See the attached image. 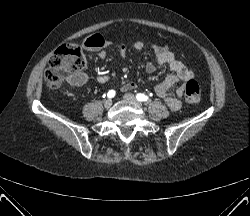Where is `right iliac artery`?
Returning <instances> with one entry per match:
<instances>
[{"label":"right iliac artery","instance_id":"82829eb1","mask_svg":"<svg viewBox=\"0 0 250 216\" xmlns=\"http://www.w3.org/2000/svg\"><path fill=\"white\" fill-rule=\"evenodd\" d=\"M116 92L114 90H110L108 93H107V96L108 98H113L115 96Z\"/></svg>","mask_w":250,"mask_h":216}]
</instances>
